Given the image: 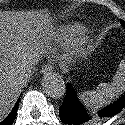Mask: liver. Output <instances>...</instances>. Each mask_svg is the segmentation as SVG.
Returning a JSON list of instances; mask_svg holds the SVG:
<instances>
[{
    "label": "liver",
    "mask_w": 125,
    "mask_h": 125,
    "mask_svg": "<svg viewBox=\"0 0 125 125\" xmlns=\"http://www.w3.org/2000/svg\"><path fill=\"white\" fill-rule=\"evenodd\" d=\"M1 13V12H0ZM43 19V18H42ZM45 20H36L38 28ZM9 21L0 16V122L13 107L24 82L19 79V73L24 66L26 54L21 51V43L12 41V31ZM20 46V47H19Z\"/></svg>",
    "instance_id": "1"
}]
</instances>
